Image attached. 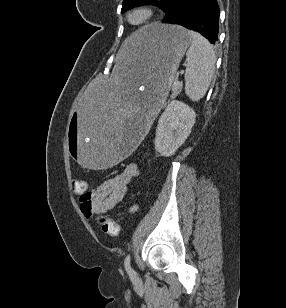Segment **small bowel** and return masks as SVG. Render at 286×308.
Listing matches in <instances>:
<instances>
[{"mask_svg": "<svg viewBox=\"0 0 286 308\" xmlns=\"http://www.w3.org/2000/svg\"><path fill=\"white\" fill-rule=\"evenodd\" d=\"M137 176L138 167L131 163L119 174L103 181L95 188L76 193L79 195L82 214L91 219L96 214H104L116 208L124 199L128 185Z\"/></svg>", "mask_w": 286, "mask_h": 308, "instance_id": "obj_1", "label": "small bowel"}]
</instances>
